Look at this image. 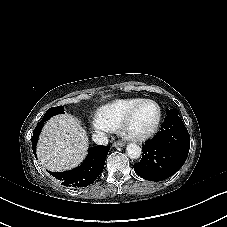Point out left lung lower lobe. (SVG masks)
<instances>
[{"instance_id":"1","label":"left lung lower lobe","mask_w":227,"mask_h":227,"mask_svg":"<svg viewBox=\"0 0 227 227\" xmlns=\"http://www.w3.org/2000/svg\"><path fill=\"white\" fill-rule=\"evenodd\" d=\"M189 148L190 136L181 118L167 115L161 131L143 145L142 159L134 170L149 181L165 180L183 166Z\"/></svg>"}]
</instances>
